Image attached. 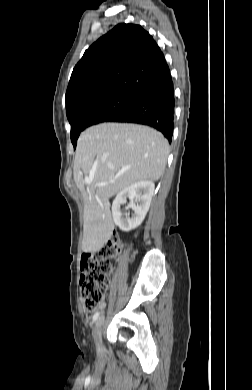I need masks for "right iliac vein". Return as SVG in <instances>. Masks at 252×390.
Returning <instances> with one entry per match:
<instances>
[{
    "label": "right iliac vein",
    "instance_id": "right-iliac-vein-1",
    "mask_svg": "<svg viewBox=\"0 0 252 390\" xmlns=\"http://www.w3.org/2000/svg\"><path fill=\"white\" fill-rule=\"evenodd\" d=\"M103 321H104V317L103 316L99 317L93 328V338L98 345H100L102 342L101 331H102Z\"/></svg>",
    "mask_w": 252,
    "mask_h": 390
}]
</instances>
